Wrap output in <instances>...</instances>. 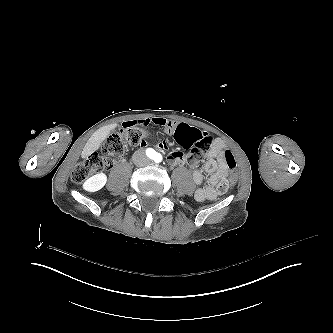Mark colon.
Listing matches in <instances>:
<instances>
[{"mask_svg": "<svg viewBox=\"0 0 333 333\" xmlns=\"http://www.w3.org/2000/svg\"><path fill=\"white\" fill-rule=\"evenodd\" d=\"M170 134L174 141L191 149L190 158L192 161L201 160L215 142L214 136L208 133L205 128L199 127L191 130L190 126L183 122L180 129L171 130ZM147 137V132L140 128L119 129L118 134L111 135L105 140L100 155H91L84 163L74 168L71 179L74 182H80L111 168L121 160L127 145H139L146 142ZM223 160L230 170V177L220 185L221 192L227 191L238 179V169L233 154L226 151Z\"/></svg>", "mask_w": 333, "mask_h": 333, "instance_id": "obj_1", "label": "colon"}]
</instances>
